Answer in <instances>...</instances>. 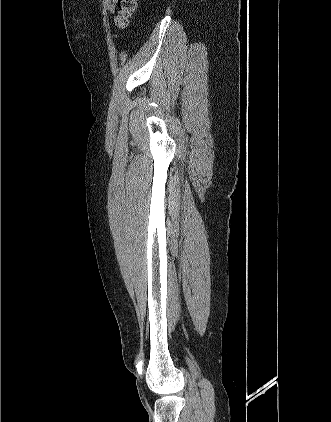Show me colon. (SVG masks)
<instances>
[{
	"label": "colon",
	"instance_id": "1",
	"mask_svg": "<svg viewBox=\"0 0 331 422\" xmlns=\"http://www.w3.org/2000/svg\"><path fill=\"white\" fill-rule=\"evenodd\" d=\"M138 0H119L118 13L115 18L117 31H122L129 27L132 16L137 8Z\"/></svg>",
	"mask_w": 331,
	"mask_h": 422
}]
</instances>
